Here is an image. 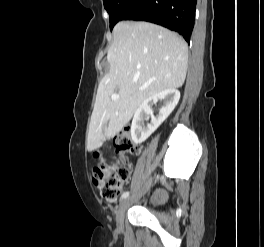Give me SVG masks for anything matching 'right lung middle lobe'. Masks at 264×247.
I'll list each match as a JSON object with an SVG mask.
<instances>
[{"mask_svg":"<svg viewBox=\"0 0 264 247\" xmlns=\"http://www.w3.org/2000/svg\"><path fill=\"white\" fill-rule=\"evenodd\" d=\"M132 1L133 0H103L104 7L110 17L111 30L115 24L120 21L121 15Z\"/></svg>","mask_w":264,"mask_h":247,"instance_id":"dd1d6c3e","label":"right lung middle lobe"}]
</instances>
